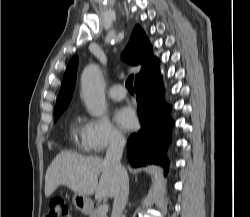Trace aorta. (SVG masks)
I'll return each instance as SVG.
<instances>
[{
    "label": "aorta",
    "instance_id": "1",
    "mask_svg": "<svg viewBox=\"0 0 250 217\" xmlns=\"http://www.w3.org/2000/svg\"><path fill=\"white\" fill-rule=\"evenodd\" d=\"M82 98L89 113L100 117L106 111L104 82L97 65L87 66L81 75Z\"/></svg>",
    "mask_w": 250,
    "mask_h": 217
}]
</instances>
